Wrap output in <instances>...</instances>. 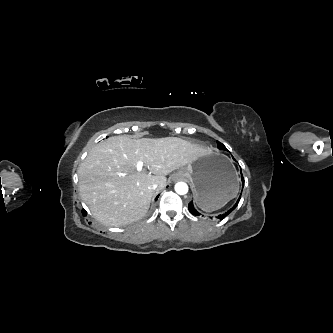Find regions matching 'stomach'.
I'll list each match as a JSON object with an SVG mask.
<instances>
[{"label":"stomach","instance_id":"1","mask_svg":"<svg viewBox=\"0 0 333 333\" xmlns=\"http://www.w3.org/2000/svg\"><path fill=\"white\" fill-rule=\"evenodd\" d=\"M178 173L190 180L196 203L203 210L226 204L237 190L235 167L219 152L207 151Z\"/></svg>","mask_w":333,"mask_h":333}]
</instances>
